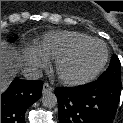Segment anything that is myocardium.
Here are the masks:
<instances>
[{
  "label": "myocardium",
  "mask_w": 123,
  "mask_h": 123,
  "mask_svg": "<svg viewBox=\"0 0 123 123\" xmlns=\"http://www.w3.org/2000/svg\"><path fill=\"white\" fill-rule=\"evenodd\" d=\"M91 43H98L104 49V55L100 64L91 73L85 76L74 77V76H69L65 74L63 70L64 65L69 60H71L81 49H83L85 46ZM107 60H108V50L106 45L98 39L90 38L74 45L72 48H70L68 51H66L64 54H62L60 57H58L55 60V67H54L55 74L57 78L59 79V81L66 85L76 86V85L86 84L92 81L93 79H95L100 74V72L103 70V68L105 67L107 63Z\"/></svg>",
  "instance_id": "myocardium-1"
}]
</instances>
